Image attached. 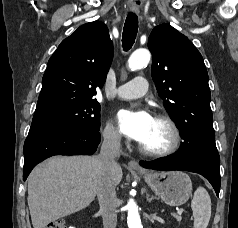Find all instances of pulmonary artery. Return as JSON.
<instances>
[{"instance_id": "obj_1", "label": "pulmonary artery", "mask_w": 238, "mask_h": 228, "mask_svg": "<svg viewBox=\"0 0 238 228\" xmlns=\"http://www.w3.org/2000/svg\"><path fill=\"white\" fill-rule=\"evenodd\" d=\"M148 89L147 79L142 76L133 78L128 83L119 86L116 89V96L121 99L140 98L146 94Z\"/></svg>"}]
</instances>
